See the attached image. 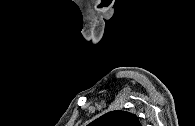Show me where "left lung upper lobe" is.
I'll return each instance as SVG.
<instances>
[{
  "label": "left lung upper lobe",
  "mask_w": 195,
  "mask_h": 126,
  "mask_svg": "<svg viewBox=\"0 0 195 126\" xmlns=\"http://www.w3.org/2000/svg\"><path fill=\"white\" fill-rule=\"evenodd\" d=\"M89 126H141L138 117L127 111H111L91 122Z\"/></svg>",
  "instance_id": "5c2ea615"
}]
</instances>
